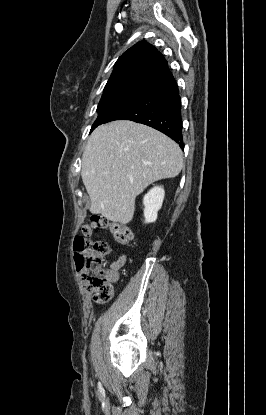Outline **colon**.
Wrapping results in <instances>:
<instances>
[{
	"label": "colon",
	"mask_w": 266,
	"mask_h": 415,
	"mask_svg": "<svg viewBox=\"0 0 266 415\" xmlns=\"http://www.w3.org/2000/svg\"><path fill=\"white\" fill-rule=\"evenodd\" d=\"M97 229H107L120 245H128L132 238L130 228L119 222L95 215L83 226V236L74 241L75 264L80 278L95 301H108L113 295L112 276L104 267L109 245L103 240L91 241L87 237Z\"/></svg>",
	"instance_id": "1"
}]
</instances>
